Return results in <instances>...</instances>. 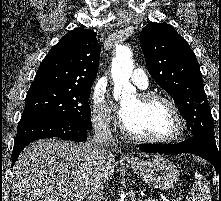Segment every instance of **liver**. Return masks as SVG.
<instances>
[{
	"instance_id": "1",
	"label": "liver",
	"mask_w": 221,
	"mask_h": 201,
	"mask_svg": "<svg viewBox=\"0 0 221 201\" xmlns=\"http://www.w3.org/2000/svg\"><path fill=\"white\" fill-rule=\"evenodd\" d=\"M90 145L58 139L28 145L13 168L12 201H83L98 174L106 183L116 166L112 149L100 171Z\"/></svg>"
}]
</instances>
